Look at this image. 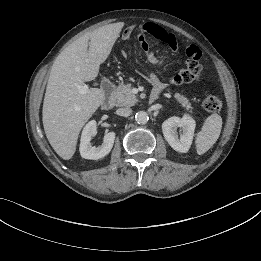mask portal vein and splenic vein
<instances>
[{
	"mask_svg": "<svg viewBox=\"0 0 261 261\" xmlns=\"http://www.w3.org/2000/svg\"><path fill=\"white\" fill-rule=\"evenodd\" d=\"M77 88H78V92L80 94H85L87 93L89 87L87 85H77Z\"/></svg>",
	"mask_w": 261,
	"mask_h": 261,
	"instance_id": "1",
	"label": "portal vein and splenic vein"
}]
</instances>
